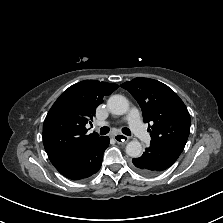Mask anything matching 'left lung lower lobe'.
I'll use <instances>...</instances> for the list:
<instances>
[{
    "label": "left lung lower lobe",
    "mask_w": 223,
    "mask_h": 223,
    "mask_svg": "<svg viewBox=\"0 0 223 223\" xmlns=\"http://www.w3.org/2000/svg\"><path fill=\"white\" fill-rule=\"evenodd\" d=\"M181 152L167 144L151 142L141 157L132 160L133 168L142 175H155L170 167Z\"/></svg>",
    "instance_id": "obj_1"
}]
</instances>
